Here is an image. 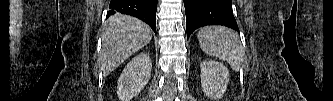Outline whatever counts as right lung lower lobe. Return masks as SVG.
<instances>
[{"instance_id":"obj_1","label":"right lung lower lobe","mask_w":333,"mask_h":101,"mask_svg":"<svg viewBox=\"0 0 333 101\" xmlns=\"http://www.w3.org/2000/svg\"><path fill=\"white\" fill-rule=\"evenodd\" d=\"M158 0H111L107 17L121 13L137 17L147 23L156 33V11Z\"/></svg>"}]
</instances>
